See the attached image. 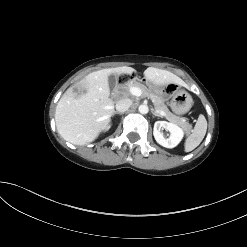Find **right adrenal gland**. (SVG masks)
Segmentation results:
<instances>
[{
  "mask_svg": "<svg viewBox=\"0 0 247 247\" xmlns=\"http://www.w3.org/2000/svg\"><path fill=\"white\" fill-rule=\"evenodd\" d=\"M113 114H121L120 112H117V111H114V113Z\"/></svg>",
  "mask_w": 247,
  "mask_h": 247,
  "instance_id": "obj_1",
  "label": "right adrenal gland"
}]
</instances>
